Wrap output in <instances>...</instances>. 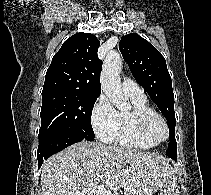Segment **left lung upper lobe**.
I'll return each instance as SVG.
<instances>
[{
    "instance_id": "obj_1",
    "label": "left lung upper lobe",
    "mask_w": 211,
    "mask_h": 195,
    "mask_svg": "<svg viewBox=\"0 0 211 195\" xmlns=\"http://www.w3.org/2000/svg\"><path fill=\"white\" fill-rule=\"evenodd\" d=\"M119 50L136 81L147 91L167 120L170 142L166 154L171 158L177 156L174 94L165 58L136 33L123 36Z\"/></svg>"
}]
</instances>
